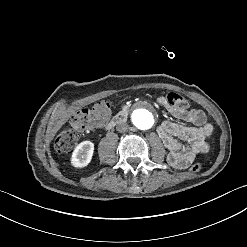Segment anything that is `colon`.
Here are the masks:
<instances>
[{
    "instance_id": "5ec220e1",
    "label": "colon",
    "mask_w": 247,
    "mask_h": 247,
    "mask_svg": "<svg viewBox=\"0 0 247 247\" xmlns=\"http://www.w3.org/2000/svg\"><path fill=\"white\" fill-rule=\"evenodd\" d=\"M165 99L176 107V110H185L189 105V100L180 95H176L173 91L165 94ZM109 104L105 101L98 102L93 108L81 109L73 114L70 121L74 127L66 129L58 134L55 142V150L58 153H70L78 142L80 131L84 128H93L106 121ZM203 168L202 162H195L190 169L198 172Z\"/></svg>"
}]
</instances>
